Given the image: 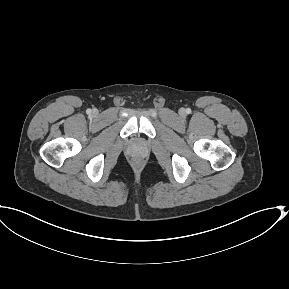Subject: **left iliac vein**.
I'll return each instance as SVG.
<instances>
[{"instance_id": "4c4485c4", "label": "left iliac vein", "mask_w": 289, "mask_h": 289, "mask_svg": "<svg viewBox=\"0 0 289 289\" xmlns=\"http://www.w3.org/2000/svg\"><path fill=\"white\" fill-rule=\"evenodd\" d=\"M179 114H180L181 116H185L186 111H185L184 109H181V110L179 111Z\"/></svg>"}]
</instances>
